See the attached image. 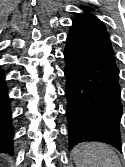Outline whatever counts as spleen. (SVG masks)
I'll use <instances>...</instances> for the list:
<instances>
[{
  "mask_svg": "<svg viewBox=\"0 0 125 167\" xmlns=\"http://www.w3.org/2000/svg\"><path fill=\"white\" fill-rule=\"evenodd\" d=\"M72 156L77 167H122L117 154L104 143L78 144L73 148Z\"/></svg>",
  "mask_w": 125,
  "mask_h": 167,
  "instance_id": "obj_1",
  "label": "spleen"
}]
</instances>
